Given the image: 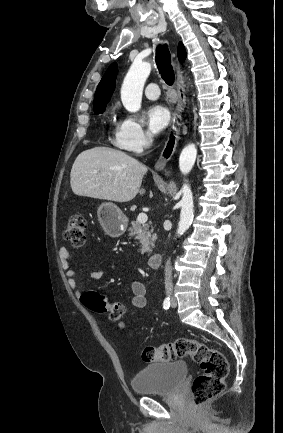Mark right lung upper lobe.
I'll return each instance as SVG.
<instances>
[{
    "label": "right lung upper lobe",
    "mask_w": 283,
    "mask_h": 433,
    "mask_svg": "<svg viewBox=\"0 0 283 433\" xmlns=\"http://www.w3.org/2000/svg\"><path fill=\"white\" fill-rule=\"evenodd\" d=\"M178 58L181 62L186 58V51L180 42L178 46ZM117 75V64L113 63L102 77L94 97V110L105 107L114 92Z\"/></svg>",
    "instance_id": "1"
}]
</instances>
